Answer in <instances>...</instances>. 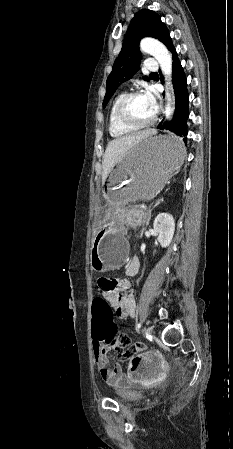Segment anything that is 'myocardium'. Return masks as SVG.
Here are the masks:
<instances>
[{"instance_id": "1", "label": "myocardium", "mask_w": 233, "mask_h": 449, "mask_svg": "<svg viewBox=\"0 0 233 449\" xmlns=\"http://www.w3.org/2000/svg\"><path fill=\"white\" fill-rule=\"evenodd\" d=\"M143 92L140 90H134L128 93H125L120 100L118 101L115 109L117 120L124 126L132 128V129H141L151 126L156 121V112L154 115L145 122H137L130 118L126 112L127 103L134 97L142 95Z\"/></svg>"}]
</instances>
